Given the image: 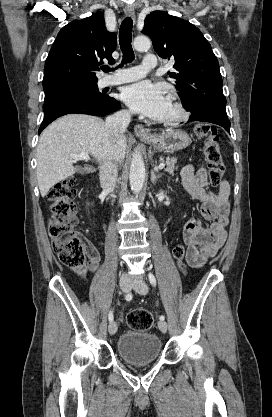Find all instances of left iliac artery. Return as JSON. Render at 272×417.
I'll use <instances>...</instances> for the list:
<instances>
[{
    "instance_id": "obj_1",
    "label": "left iliac artery",
    "mask_w": 272,
    "mask_h": 417,
    "mask_svg": "<svg viewBox=\"0 0 272 417\" xmlns=\"http://www.w3.org/2000/svg\"><path fill=\"white\" fill-rule=\"evenodd\" d=\"M149 281L154 287L156 286V279H155V276L152 273H149ZM159 318H160V320H164L165 316L161 315Z\"/></svg>"
}]
</instances>
